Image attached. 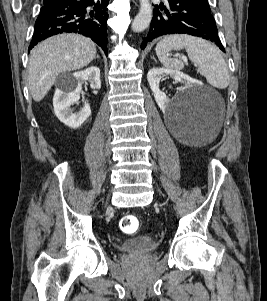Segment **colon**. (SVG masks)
<instances>
[{
  "label": "colon",
  "instance_id": "colon-1",
  "mask_svg": "<svg viewBox=\"0 0 267 301\" xmlns=\"http://www.w3.org/2000/svg\"><path fill=\"white\" fill-rule=\"evenodd\" d=\"M120 229L126 234H134L139 231L141 221L136 215H126L120 220Z\"/></svg>",
  "mask_w": 267,
  "mask_h": 301
}]
</instances>
